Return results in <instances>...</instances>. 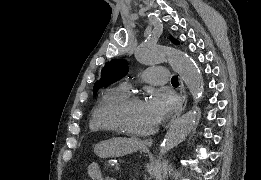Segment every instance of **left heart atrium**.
I'll return each mask as SVG.
<instances>
[{
    "label": "left heart atrium",
    "mask_w": 261,
    "mask_h": 180,
    "mask_svg": "<svg viewBox=\"0 0 261 180\" xmlns=\"http://www.w3.org/2000/svg\"><path fill=\"white\" fill-rule=\"evenodd\" d=\"M147 107L157 120L172 114L179 105L178 97L169 90H154L146 100Z\"/></svg>",
    "instance_id": "obj_1"
}]
</instances>
